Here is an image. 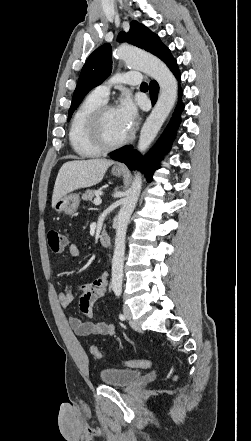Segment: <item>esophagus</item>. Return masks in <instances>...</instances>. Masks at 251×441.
I'll use <instances>...</instances> for the list:
<instances>
[{
  "label": "esophagus",
  "mask_w": 251,
  "mask_h": 441,
  "mask_svg": "<svg viewBox=\"0 0 251 441\" xmlns=\"http://www.w3.org/2000/svg\"><path fill=\"white\" fill-rule=\"evenodd\" d=\"M116 168L124 169V168H125V165H124V164H117V165H116Z\"/></svg>",
  "instance_id": "34e87169"
}]
</instances>
